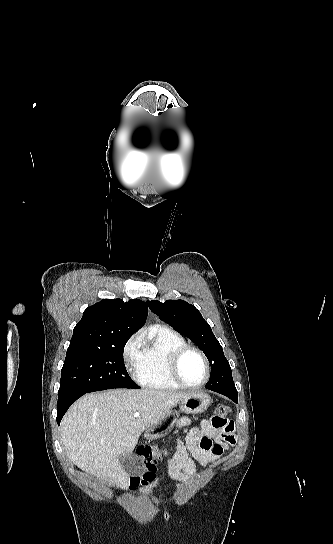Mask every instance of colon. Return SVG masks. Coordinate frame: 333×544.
<instances>
[{"label": "colon", "instance_id": "obj_1", "mask_svg": "<svg viewBox=\"0 0 333 544\" xmlns=\"http://www.w3.org/2000/svg\"><path fill=\"white\" fill-rule=\"evenodd\" d=\"M231 412V407L228 405H218L215 409L216 416L225 417ZM137 453L144 462L145 471L139 477L131 478L130 487L136 488L138 486H145L151 483L155 478L156 462L158 459L167 454V452L160 447H151L148 445L140 446L137 449Z\"/></svg>", "mask_w": 333, "mask_h": 544}]
</instances>
